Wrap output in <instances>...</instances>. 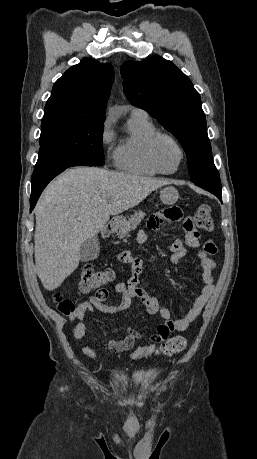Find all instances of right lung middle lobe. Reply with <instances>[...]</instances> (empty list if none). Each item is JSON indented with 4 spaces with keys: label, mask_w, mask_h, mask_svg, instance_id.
Segmentation results:
<instances>
[{
    "label": "right lung middle lobe",
    "mask_w": 257,
    "mask_h": 459,
    "mask_svg": "<svg viewBox=\"0 0 257 459\" xmlns=\"http://www.w3.org/2000/svg\"><path fill=\"white\" fill-rule=\"evenodd\" d=\"M103 127L104 121L63 114H44L35 168L73 160L95 166L104 165Z\"/></svg>",
    "instance_id": "right-lung-middle-lobe-1"
}]
</instances>
